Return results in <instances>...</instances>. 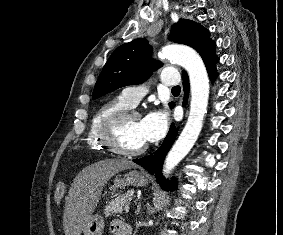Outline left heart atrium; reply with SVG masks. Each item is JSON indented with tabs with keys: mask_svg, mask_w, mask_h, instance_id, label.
Segmentation results:
<instances>
[{
	"mask_svg": "<svg viewBox=\"0 0 283 235\" xmlns=\"http://www.w3.org/2000/svg\"><path fill=\"white\" fill-rule=\"evenodd\" d=\"M168 118L164 111L156 110L140 120V128L145 142L161 139L167 131Z\"/></svg>",
	"mask_w": 283,
	"mask_h": 235,
	"instance_id": "39dd6f15",
	"label": "left heart atrium"
}]
</instances>
